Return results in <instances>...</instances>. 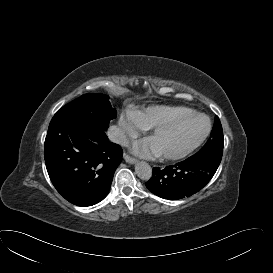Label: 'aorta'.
Masks as SVG:
<instances>
[{
    "label": "aorta",
    "mask_w": 273,
    "mask_h": 273,
    "mask_svg": "<svg viewBox=\"0 0 273 273\" xmlns=\"http://www.w3.org/2000/svg\"><path fill=\"white\" fill-rule=\"evenodd\" d=\"M135 173L142 180H149L152 176L151 166L144 161H139L135 165Z\"/></svg>",
    "instance_id": "762f6f07"
}]
</instances>
